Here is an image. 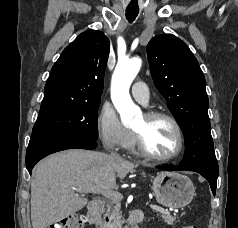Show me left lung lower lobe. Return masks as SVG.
Returning <instances> with one entry per match:
<instances>
[{"mask_svg":"<svg viewBox=\"0 0 238 228\" xmlns=\"http://www.w3.org/2000/svg\"><path fill=\"white\" fill-rule=\"evenodd\" d=\"M162 170L166 171H180V170H186V171H194L198 172L201 174L203 177H205L210 186L213 194L215 195V190H216V183H217V177H218V168H209V167H204V166H194V167H185L179 164L178 166H159L157 167Z\"/></svg>","mask_w":238,"mask_h":228,"instance_id":"0a47b994","label":"left lung lower lobe"}]
</instances>
